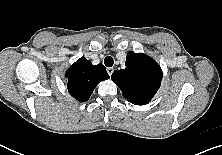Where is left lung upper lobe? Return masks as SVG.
Returning a JSON list of instances; mask_svg holds the SVG:
<instances>
[{
	"label": "left lung upper lobe",
	"mask_w": 222,
	"mask_h": 155,
	"mask_svg": "<svg viewBox=\"0 0 222 155\" xmlns=\"http://www.w3.org/2000/svg\"><path fill=\"white\" fill-rule=\"evenodd\" d=\"M125 65V69L115 70L111 79L130 103L147 104L160 87L162 80L160 66L150 56L134 52H128Z\"/></svg>",
	"instance_id": "1"
}]
</instances>
